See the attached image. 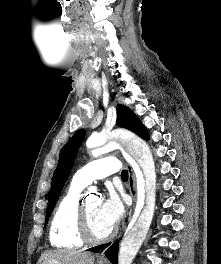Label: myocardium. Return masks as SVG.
I'll return each instance as SVG.
<instances>
[{
  "mask_svg": "<svg viewBox=\"0 0 221 264\" xmlns=\"http://www.w3.org/2000/svg\"><path fill=\"white\" fill-rule=\"evenodd\" d=\"M85 201L86 199H82L79 202L78 209H77L76 226H77V232H78L80 239L84 243H88V244H101V243L107 242L113 237L114 232H115L114 228H112L103 237H95L92 234L91 229H90Z\"/></svg>",
  "mask_w": 221,
  "mask_h": 264,
  "instance_id": "f54148a6",
  "label": "myocardium"
}]
</instances>
